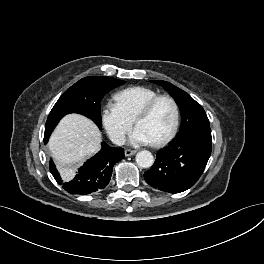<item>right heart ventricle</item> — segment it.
Wrapping results in <instances>:
<instances>
[{
	"instance_id": "right-heart-ventricle-1",
	"label": "right heart ventricle",
	"mask_w": 264,
	"mask_h": 264,
	"mask_svg": "<svg viewBox=\"0 0 264 264\" xmlns=\"http://www.w3.org/2000/svg\"><path fill=\"white\" fill-rule=\"evenodd\" d=\"M158 95L160 94L156 90L149 87L134 86L120 90L114 98L124 114L134 120L143 106Z\"/></svg>"
}]
</instances>
